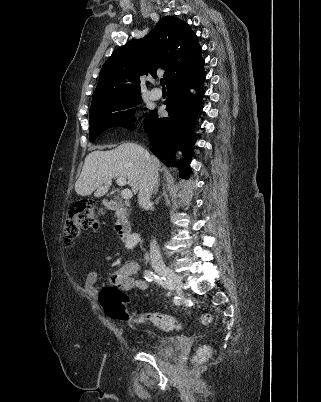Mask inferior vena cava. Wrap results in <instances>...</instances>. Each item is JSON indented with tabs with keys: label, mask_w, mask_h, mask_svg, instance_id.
<instances>
[{
	"label": "inferior vena cava",
	"mask_w": 321,
	"mask_h": 402,
	"mask_svg": "<svg viewBox=\"0 0 321 402\" xmlns=\"http://www.w3.org/2000/svg\"><path fill=\"white\" fill-rule=\"evenodd\" d=\"M145 157V172L138 193V203L141 208H145L147 205L150 204V198L153 192V188L155 187L158 179V172L152 164L150 155L147 151L145 153ZM150 261L152 266H164V262L156 239H153L150 243Z\"/></svg>",
	"instance_id": "inferior-vena-cava-1"
}]
</instances>
